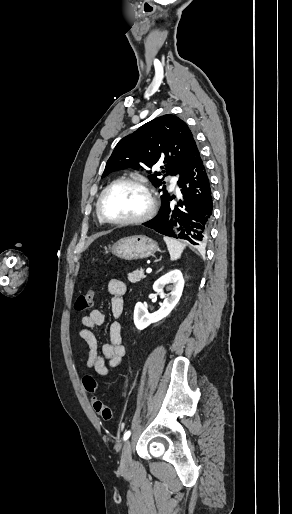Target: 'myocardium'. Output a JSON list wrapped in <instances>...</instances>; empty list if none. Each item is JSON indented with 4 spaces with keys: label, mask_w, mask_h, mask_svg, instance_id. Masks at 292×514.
Segmentation results:
<instances>
[{
    "label": "myocardium",
    "mask_w": 292,
    "mask_h": 514,
    "mask_svg": "<svg viewBox=\"0 0 292 514\" xmlns=\"http://www.w3.org/2000/svg\"><path fill=\"white\" fill-rule=\"evenodd\" d=\"M124 184L137 186L145 193V195L147 197V208L141 215L130 218V219H126V220L109 219L102 212L103 199L109 190H111L112 188H114L116 186L124 185ZM154 211H155V198L153 196L152 191L150 190L147 183L143 179L136 178V177L121 178V179L113 181L107 187H105L103 189V191L101 192V194L99 195L98 200H97V215H98L99 219L105 223L113 224V225L127 226V225H133V224H138V223L144 222L153 215Z\"/></svg>",
    "instance_id": "1"
}]
</instances>
